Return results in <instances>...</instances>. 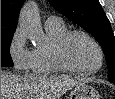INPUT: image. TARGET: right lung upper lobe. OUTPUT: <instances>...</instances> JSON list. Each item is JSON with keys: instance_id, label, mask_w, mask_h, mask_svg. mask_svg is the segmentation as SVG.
<instances>
[{"instance_id": "1", "label": "right lung upper lobe", "mask_w": 115, "mask_h": 99, "mask_svg": "<svg viewBox=\"0 0 115 99\" xmlns=\"http://www.w3.org/2000/svg\"><path fill=\"white\" fill-rule=\"evenodd\" d=\"M24 0H1V31H15Z\"/></svg>"}]
</instances>
